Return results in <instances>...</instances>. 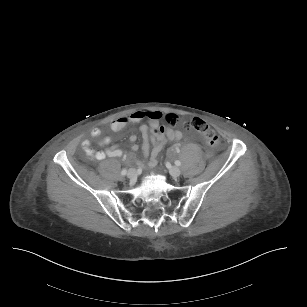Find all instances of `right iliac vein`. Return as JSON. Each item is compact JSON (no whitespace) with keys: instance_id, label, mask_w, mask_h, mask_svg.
Segmentation results:
<instances>
[{"instance_id":"1","label":"right iliac vein","mask_w":307,"mask_h":307,"mask_svg":"<svg viewBox=\"0 0 307 307\" xmlns=\"http://www.w3.org/2000/svg\"><path fill=\"white\" fill-rule=\"evenodd\" d=\"M127 177L131 180L136 179L137 177V171L134 168H130L127 172Z\"/></svg>"}]
</instances>
